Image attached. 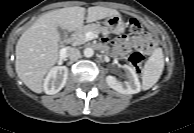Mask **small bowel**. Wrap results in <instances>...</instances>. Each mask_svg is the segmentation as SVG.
Masks as SVG:
<instances>
[{"label":"small bowel","mask_w":194,"mask_h":133,"mask_svg":"<svg viewBox=\"0 0 194 133\" xmlns=\"http://www.w3.org/2000/svg\"><path fill=\"white\" fill-rule=\"evenodd\" d=\"M103 47L111 46L116 52L126 55L131 50L140 49L141 53H150L157 48V41L151 39L150 35L143 34L139 36H121L113 42L107 39L103 41Z\"/></svg>","instance_id":"small-bowel-1"}]
</instances>
